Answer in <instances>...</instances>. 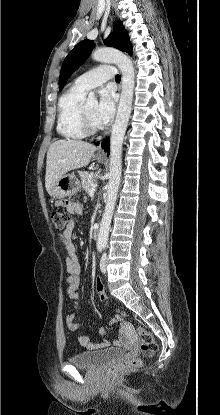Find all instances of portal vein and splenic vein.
Segmentation results:
<instances>
[{
  "label": "portal vein and splenic vein",
  "mask_w": 220,
  "mask_h": 415,
  "mask_svg": "<svg viewBox=\"0 0 220 415\" xmlns=\"http://www.w3.org/2000/svg\"><path fill=\"white\" fill-rule=\"evenodd\" d=\"M96 191V185H94L90 190H89V195L92 196Z\"/></svg>",
  "instance_id": "18ae733b"
}]
</instances>
